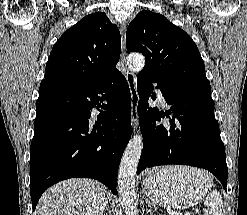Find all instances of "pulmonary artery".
Returning <instances> with one entry per match:
<instances>
[{"instance_id": "1", "label": "pulmonary artery", "mask_w": 247, "mask_h": 215, "mask_svg": "<svg viewBox=\"0 0 247 215\" xmlns=\"http://www.w3.org/2000/svg\"><path fill=\"white\" fill-rule=\"evenodd\" d=\"M156 93L158 94L160 100H161L162 102H164V98H163V96H162L161 90L157 88V89H156Z\"/></svg>"}]
</instances>
